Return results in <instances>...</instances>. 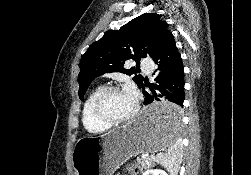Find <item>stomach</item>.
Here are the masks:
<instances>
[{"mask_svg": "<svg viewBox=\"0 0 251 175\" xmlns=\"http://www.w3.org/2000/svg\"><path fill=\"white\" fill-rule=\"evenodd\" d=\"M178 106L169 105V100H156V105L144 107L135 121L116 127L105 135H83L74 145L72 165L75 175H113L119 165L137 154H154L168 148V141H177L182 124Z\"/></svg>", "mask_w": 251, "mask_h": 175, "instance_id": "1", "label": "stomach"}]
</instances>
